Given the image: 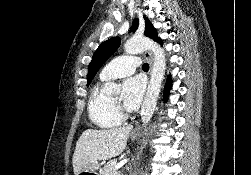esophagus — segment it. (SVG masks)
Wrapping results in <instances>:
<instances>
[{
    "label": "esophagus",
    "mask_w": 251,
    "mask_h": 175,
    "mask_svg": "<svg viewBox=\"0 0 251 175\" xmlns=\"http://www.w3.org/2000/svg\"><path fill=\"white\" fill-rule=\"evenodd\" d=\"M144 57L147 59V61L149 63V72L148 73L151 74L152 68H153V61H154L153 55L151 52L148 51V52L144 53Z\"/></svg>",
    "instance_id": "34e87169"
}]
</instances>
